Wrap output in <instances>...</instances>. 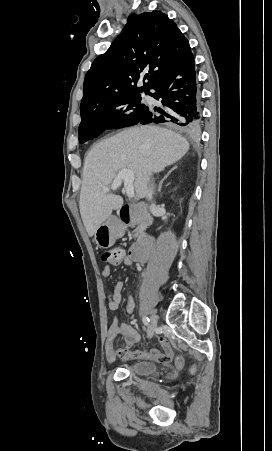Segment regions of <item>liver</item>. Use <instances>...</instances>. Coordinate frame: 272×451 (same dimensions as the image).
<instances>
[{"label":"liver","instance_id":"6515ba94","mask_svg":"<svg viewBox=\"0 0 272 451\" xmlns=\"http://www.w3.org/2000/svg\"><path fill=\"white\" fill-rule=\"evenodd\" d=\"M189 150L183 136L159 126H134L101 140L86 156L79 208L88 235H94L113 210L123 206V198L103 192L119 170L135 174V192L145 198L150 176L181 160Z\"/></svg>","mask_w":272,"mask_h":451}]
</instances>
